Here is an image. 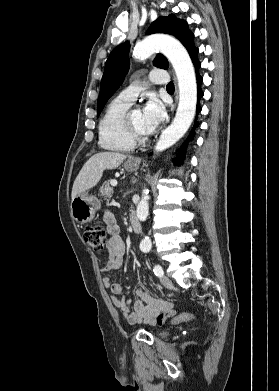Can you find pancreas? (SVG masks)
<instances>
[{
	"label": "pancreas",
	"instance_id": "1",
	"mask_svg": "<svg viewBox=\"0 0 279 391\" xmlns=\"http://www.w3.org/2000/svg\"><path fill=\"white\" fill-rule=\"evenodd\" d=\"M112 194H113V188L110 187V182L109 181L104 182L99 189V196H101L104 200L109 201V199L112 197Z\"/></svg>",
	"mask_w": 279,
	"mask_h": 391
}]
</instances>
